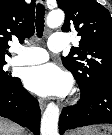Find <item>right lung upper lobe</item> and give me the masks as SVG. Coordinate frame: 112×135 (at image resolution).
Here are the masks:
<instances>
[{
    "label": "right lung upper lobe",
    "instance_id": "1",
    "mask_svg": "<svg viewBox=\"0 0 112 135\" xmlns=\"http://www.w3.org/2000/svg\"><path fill=\"white\" fill-rule=\"evenodd\" d=\"M35 1L27 4L25 0H0V61L10 56L8 42L14 36L24 41L33 35Z\"/></svg>",
    "mask_w": 112,
    "mask_h": 135
}]
</instances>
